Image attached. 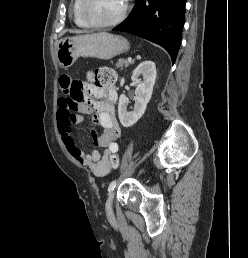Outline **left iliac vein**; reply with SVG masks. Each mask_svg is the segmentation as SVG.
Segmentation results:
<instances>
[{"label":"left iliac vein","instance_id":"1","mask_svg":"<svg viewBox=\"0 0 248 258\" xmlns=\"http://www.w3.org/2000/svg\"><path fill=\"white\" fill-rule=\"evenodd\" d=\"M114 196H115V190L113 189V190L110 192V194H109V196H108V198H107V201H106V211H107V212H110V211H111Z\"/></svg>","mask_w":248,"mask_h":258}]
</instances>
